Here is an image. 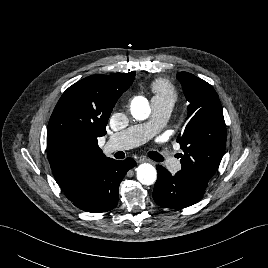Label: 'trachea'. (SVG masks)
<instances>
[{
	"label": "trachea",
	"mask_w": 268,
	"mask_h": 268,
	"mask_svg": "<svg viewBox=\"0 0 268 268\" xmlns=\"http://www.w3.org/2000/svg\"><path fill=\"white\" fill-rule=\"evenodd\" d=\"M152 159H154L155 161L161 162L164 160V158L159 155L157 152H154L153 155H151Z\"/></svg>",
	"instance_id": "3493384b"
}]
</instances>
